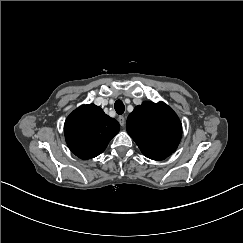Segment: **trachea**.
<instances>
[{
    "label": "trachea",
    "instance_id": "obj_1",
    "mask_svg": "<svg viewBox=\"0 0 243 243\" xmlns=\"http://www.w3.org/2000/svg\"><path fill=\"white\" fill-rule=\"evenodd\" d=\"M115 111L117 114L122 115L125 111V105L121 100H117L114 104Z\"/></svg>",
    "mask_w": 243,
    "mask_h": 243
}]
</instances>
